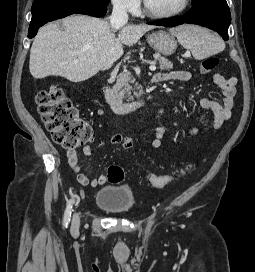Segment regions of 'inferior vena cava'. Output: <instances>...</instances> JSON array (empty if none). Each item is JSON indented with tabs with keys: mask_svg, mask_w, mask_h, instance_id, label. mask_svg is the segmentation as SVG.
I'll use <instances>...</instances> for the list:
<instances>
[{
	"mask_svg": "<svg viewBox=\"0 0 255 272\" xmlns=\"http://www.w3.org/2000/svg\"><path fill=\"white\" fill-rule=\"evenodd\" d=\"M128 22L126 7L122 3H115L110 17V26L113 31L120 29Z\"/></svg>",
	"mask_w": 255,
	"mask_h": 272,
	"instance_id": "obj_1",
	"label": "inferior vena cava"
}]
</instances>
